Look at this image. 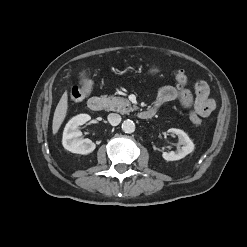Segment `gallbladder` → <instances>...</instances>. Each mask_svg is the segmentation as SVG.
<instances>
[{
  "label": "gallbladder",
  "mask_w": 247,
  "mask_h": 247,
  "mask_svg": "<svg viewBox=\"0 0 247 247\" xmlns=\"http://www.w3.org/2000/svg\"><path fill=\"white\" fill-rule=\"evenodd\" d=\"M85 76H86V73H85V71H83V72L81 73V77H82V78H85Z\"/></svg>",
  "instance_id": "bac80fb5"
}]
</instances>
